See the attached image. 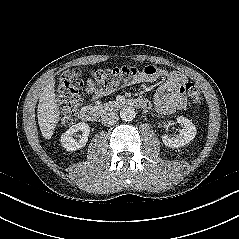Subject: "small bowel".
<instances>
[{
	"instance_id": "1",
	"label": "small bowel",
	"mask_w": 239,
	"mask_h": 239,
	"mask_svg": "<svg viewBox=\"0 0 239 239\" xmlns=\"http://www.w3.org/2000/svg\"><path fill=\"white\" fill-rule=\"evenodd\" d=\"M165 75V72L154 65H147L134 79L135 83L153 82ZM168 81L161 85L155 95V105L159 113L167 115L181 110L185 106L183 95V78L178 74H169ZM86 92L94 99L101 98L111 93V89L97 88L92 79L85 84Z\"/></svg>"
}]
</instances>
